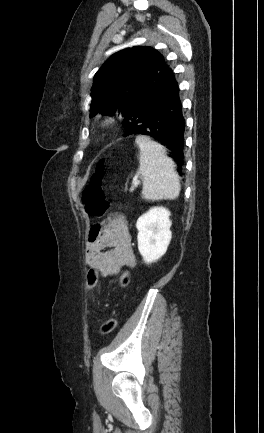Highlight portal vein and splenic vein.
I'll return each mask as SVG.
<instances>
[{
	"mask_svg": "<svg viewBox=\"0 0 264 433\" xmlns=\"http://www.w3.org/2000/svg\"><path fill=\"white\" fill-rule=\"evenodd\" d=\"M138 184H139V182L138 181H133V186L131 187V191H133L134 190V188L135 187H137L138 186Z\"/></svg>",
	"mask_w": 264,
	"mask_h": 433,
	"instance_id": "1",
	"label": "portal vein and splenic vein"
}]
</instances>
